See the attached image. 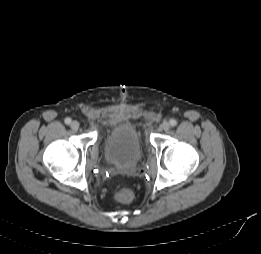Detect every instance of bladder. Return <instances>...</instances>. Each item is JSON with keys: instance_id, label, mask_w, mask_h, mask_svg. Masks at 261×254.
Masks as SVG:
<instances>
[{"instance_id": "1", "label": "bladder", "mask_w": 261, "mask_h": 254, "mask_svg": "<svg viewBox=\"0 0 261 254\" xmlns=\"http://www.w3.org/2000/svg\"><path fill=\"white\" fill-rule=\"evenodd\" d=\"M143 152L139 130L130 123H121L111 129L104 140L107 162L122 169L133 167Z\"/></svg>"}]
</instances>
